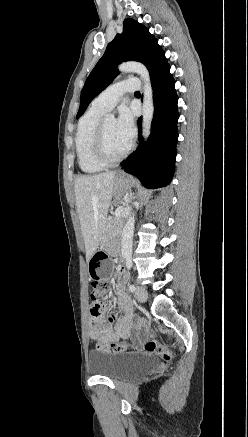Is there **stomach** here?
<instances>
[{
    "mask_svg": "<svg viewBox=\"0 0 248 437\" xmlns=\"http://www.w3.org/2000/svg\"><path fill=\"white\" fill-rule=\"evenodd\" d=\"M115 196L123 195L132 185L131 178L127 176H116L115 180ZM89 276L90 279H109V271H114V262H111V257L105 250H96L95 254L89 260ZM104 283V280H101Z\"/></svg>",
    "mask_w": 248,
    "mask_h": 437,
    "instance_id": "obj_1",
    "label": "stomach"
}]
</instances>
